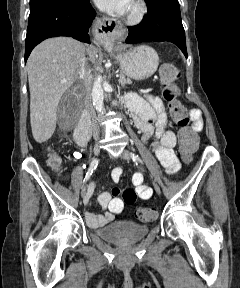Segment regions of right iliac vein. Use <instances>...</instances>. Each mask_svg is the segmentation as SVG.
<instances>
[{
    "mask_svg": "<svg viewBox=\"0 0 240 288\" xmlns=\"http://www.w3.org/2000/svg\"><path fill=\"white\" fill-rule=\"evenodd\" d=\"M93 153H94L95 156H97L100 153V147L99 146H95L94 149H93ZM86 189H87V187H86V185H84L82 187V190H81V197L82 198H84L85 195H86Z\"/></svg>",
    "mask_w": 240,
    "mask_h": 288,
    "instance_id": "right-iliac-vein-1",
    "label": "right iliac vein"
}]
</instances>
